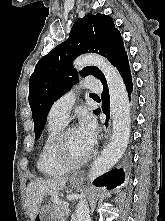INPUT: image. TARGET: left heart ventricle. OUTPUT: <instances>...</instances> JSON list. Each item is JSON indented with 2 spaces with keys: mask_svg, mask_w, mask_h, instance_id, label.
Here are the masks:
<instances>
[{
  "mask_svg": "<svg viewBox=\"0 0 165 221\" xmlns=\"http://www.w3.org/2000/svg\"><path fill=\"white\" fill-rule=\"evenodd\" d=\"M66 148L73 160H80L88 154L92 147L82 137L78 129H74L67 136Z\"/></svg>",
  "mask_w": 165,
  "mask_h": 221,
  "instance_id": "left-heart-ventricle-1",
  "label": "left heart ventricle"
}]
</instances>
